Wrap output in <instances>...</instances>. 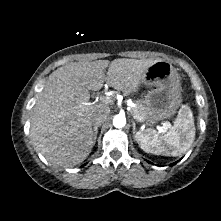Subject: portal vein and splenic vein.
<instances>
[{"label": "portal vein and splenic vein", "mask_w": 221, "mask_h": 221, "mask_svg": "<svg viewBox=\"0 0 221 221\" xmlns=\"http://www.w3.org/2000/svg\"><path fill=\"white\" fill-rule=\"evenodd\" d=\"M104 101H106L107 103L111 102L109 99H106V100H104ZM85 104H87V103H85ZM133 118H134L136 121H141L138 116L133 115Z\"/></svg>", "instance_id": "portal-vein-and-splenic-vein-1"}]
</instances>
